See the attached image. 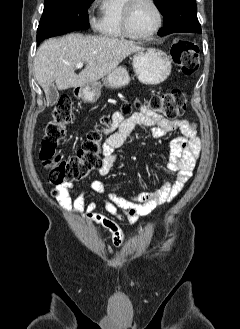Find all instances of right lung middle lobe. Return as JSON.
<instances>
[{
  "label": "right lung middle lobe",
  "mask_w": 240,
  "mask_h": 329,
  "mask_svg": "<svg viewBox=\"0 0 240 329\" xmlns=\"http://www.w3.org/2000/svg\"><path fill=\"white\" fill-rule=\"evenodd\" d=\"M94 0H44V11L37 30V44L43 39L87 29L88 8Z\"/></svg>",
  "instance_id": "obj_1"
}]
</instances>
